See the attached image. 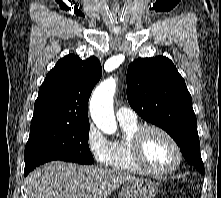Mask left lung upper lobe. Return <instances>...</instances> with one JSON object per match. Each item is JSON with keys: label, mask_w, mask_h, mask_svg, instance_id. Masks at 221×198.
Masks as SVG:
<instances>
[{"label": "left lung upper lobe", "mask_w": 221, "mask_h": 198, "mask_svg": "<svg viewBox=\"0 0 221 198\" xmlns=\"http://www.w3.org/2000/svg\"><path fill=\"white\" fill-rule=\"evenodd\" d=\"M127 98L143 119L164 129L187 162L204 174L192 98L170 59L157 56L133 61L127 70Z\"/></svg>", "instance_id": "1"}]
</instances>
